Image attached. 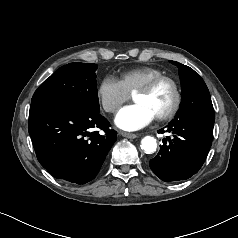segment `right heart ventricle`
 Wrapping results in <instances>:
<instances>
[{
    "mask_svg": "<svg viewBox=\"0 0 238 238\" xmlns=\"http://www.w3.org/2000/svg\"><path fill=\"white\" fill-rule=\"evenodd\" d=\"M165 75L157 67L141 66L123 72L119 78L120 83L128 94L134 93L151 79Z\"/></svg>",
    "mask_w": 238,
    "mask_h": 238,
    "instance_id": "obj_1",
    "label": "right heart ventricle"
}]
</instances>
